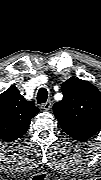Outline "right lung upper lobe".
Listing matches in <instances>:
<instances>
[{
	"mask_svg": "<svg viewBox=\"0 0 101 180\" xmlns=\"http://www.w3.org/2000/svg\"><path fill=\"white\" fill-rule=\"evenodd\" d=\"M39 112L12 85L0 95V139L14 141L25 134L31 119Z\"/></svg>",
	"mask_w": 101,
	"mask_h": 180,
	"instance_id": "1",
	"label": "right lung upper lobe"
}]
</instances>
